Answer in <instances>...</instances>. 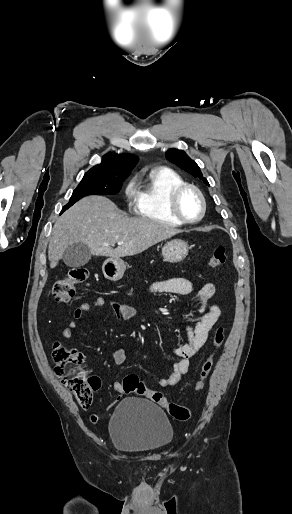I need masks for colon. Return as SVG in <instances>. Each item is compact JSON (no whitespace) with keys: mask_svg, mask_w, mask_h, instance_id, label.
Listing matches in <instances>:
<instances>
[{"mask_svg":"<svg viewBox=\"0 0 292 514\" xmlns=\"http://www.w3.org/2000/svg\"><path fill=\"white\" fill-rule=\"evenodd\" d=\"M226 262V249L219 245L216 246L209 259L211 268H218ZM89 272L85 268L74 267L69 269L66 274L58 278L53 286V294L58 303H69L75 295L76 289L82 285L89 277ZM226 335V328L218 326L215 328L211 340L209 353L202 361L198 380L195 384L196 391H202L205 381L209 377L213 368V357L215 351L223 343ZM52 358L54 361V373L63 380L66 389L71 392L82 408H89L94 401V393L101 386L98 376L87 373L82 366L85 361L84 354L76 349L64 346L55 342L52 346ZM122 387L126 393H136L138 396H145L151 401L159 404L168 415L177 420H186L191 416L188 407L178 405L169 401L161 391L148 389L145 383L136 375L129 374L122 380ZM91 419L94 418V414Z\"/></svg>","mask_w":292,"mask_h":514,"instance_id":"obj_1","label":"colon"}]
</instances>
